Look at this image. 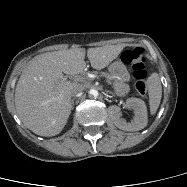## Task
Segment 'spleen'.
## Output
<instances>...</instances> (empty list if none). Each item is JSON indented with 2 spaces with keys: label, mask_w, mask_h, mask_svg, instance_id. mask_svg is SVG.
Masks as SVG:
<instances>
[{
  "label": "spleen",
  "mask_w": 187,
  "mask_h": 187,
  "mask_svg": "<svg viewBox=\"0 0 187 187\" xmlns=\"http://www.w3.org/2000/svg\"><path fill=\"white\" fill-rule=\"evenodd\" d=\"M149 84V106L151 114H155L162 97V86L160 82L159 75L157 73H152L148 78Z\"/></svg>",
  "instance_id": "obj_1"
}]
</instances>
